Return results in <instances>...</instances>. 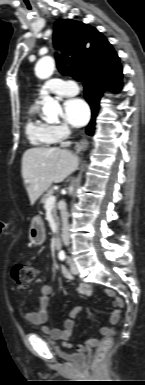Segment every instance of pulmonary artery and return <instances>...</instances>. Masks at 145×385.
I'll return each mask as SVG.
<instances>
[{
	"instance_id": "e3ab8cb5",
	"label": "pulmonary artery",
	"mask_w": 145,
	"mask_h": 385,
	"mask_svg": "<svg viewBox=\"0 0 145 385\" xmlns=\"http://www.w3.org/2000/svg\"><path fill=\"white\" fill-rule=\"evenodd\" d=\"M43 88L59 96H73L79 92V87L74 81L58 78L49 80Z\"/></svg>"
}]
</instances>
